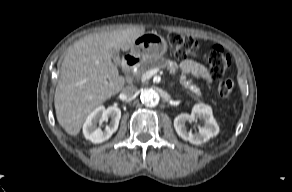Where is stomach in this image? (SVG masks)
Masks as SVG:
<instances>
[{
    "mask_svg": "<svg viewBox=\"0 0 292 192\" xmlns=\"http://www.w3.org/2000/svg\"><path fill=\"white\" fill-rule=\"evenodd\" d=\"M166 51L165 39L156 32L144 33L134 41L131 47V55L145 62L162 57Z\"/></svg>",
    "mask_w": 292,
    "mask_h": 192,
    "instance_id": "obj_1",
    "label": "stomach"
}]
</instances>
